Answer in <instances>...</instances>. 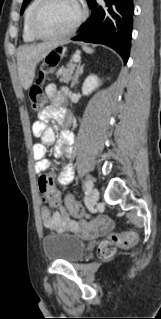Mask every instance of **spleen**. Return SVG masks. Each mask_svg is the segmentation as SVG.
<instances>
[{
    "mask_svg": "<svg viewBox=\"0 0 161 319\" xmlns=\"http://www.w3.org/2000/svg\"><path fill=\"white\" fill-rule=\"evenodd\" d=\"M84 49L87 53H90V54L93 53V50L89 47H84Z\"/></svg>",
    "mask_w": 161,
    "mask_h": 319,
    "instance_id": "spleen-1",
    "label": "spleen"
}]
</instances>
